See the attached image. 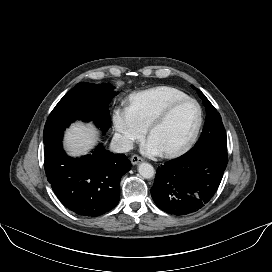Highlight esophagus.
<instances>
[{"label":"esophagus","mask_w":272,"mask_h":272,"mask_svg":"<svg viewBox=\"0 0 272 272\" xmlns=\"http://www.w3.org/2000/svg\"><path fill=\"white\" fill-rule=\"evenodd\" d=\"M141 161H142V158H140L138 155H133L131 157V162H132L133 165H136Z\"/></svg>","instance_id":"34e87169"}]
</instances>
